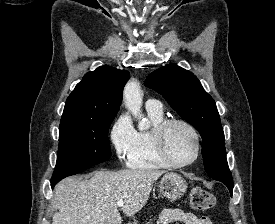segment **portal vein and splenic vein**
I'll use <instances>...</instances> for the list:
<instances>
[{"mask_svg": "<svg viewBox=\"0 0 275 224\" xmlns=\"http://www.w3.org/2000/svg\"><path fill=\"white\" fill-rule=\"evenodd\" d=\"M125 204V201L120 200L117 202L118 207H122Z\"/></svg>", "mask_w": 275, "mask_h": 224, "instance_id": "1", "label": "portal vein and splenic vein"}]
</instances>
